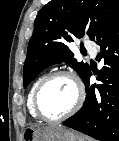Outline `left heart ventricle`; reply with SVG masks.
I'll list each match as a JSON object with an SVG mask.
<instances>
[{"label":"left heart ventricle","instance_id":"obj_1","mask_svg":"<svg viewBox=\"0 0 119 141\" xmlns=\"http://www.w3.org/2000/svg\"><path fill=\"white\" fill-rule=\"evenodd\" d=\"M75 98L76 91L72 81L67 77H57L41 91L39 107L44 116L56 118L72 107Z\"/></svg>","mask_w":119,"mask_h":141}]
</instances>
